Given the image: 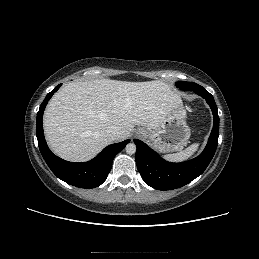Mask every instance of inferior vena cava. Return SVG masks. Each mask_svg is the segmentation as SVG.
Listing matches in <instances>:
<instances>
[{
    "mask_svg": "<svg viewBox=\"0 0 259 259\" xmlns=\"http://www.w3.org/2000/svg\"><path fill=\"white\" fill-rule=\"evenodd\" d=\"M120 134L121 129L117 126H110L105 132V136L112 142L116 141Z\"/></svg>",
    "mask_w": 259,
    "mask_h": 259,
    "instance_id": "obj_1",
    "label": "inferior vena cava"
}]
</instances>
